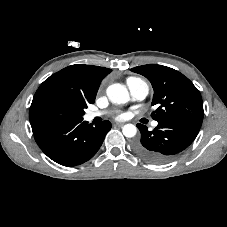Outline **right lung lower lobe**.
<instances>
[{"instance_id":"right-lung-lower-lobe-1","label":"right lung lower lobe","mask_w":227,"mask_h":227,"mask_svg":"<svg viewBox=\"0 0 227 227\" xmlns=\"http://www.w3.org/2000/svg\"><path fill=\"white\" fill-rule=\"evenodd\" d=\"M110 129L109 121L93 127L81 119L32 131L38 146L50 159L60 165L72 167L91 159Z\"/></svg>"}]
</instances>
